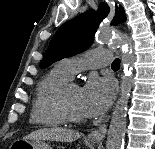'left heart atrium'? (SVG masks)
<instances>
[{
    "mask_svg": "<svg viewBox=\"0 0 155 149\" xmlns=\"http://www.w3.org/2000/svg\"><path fill=\"white\" fill-rule=\"evenodd\" d=\"M115 94V84L110 78L92 77L81 89V108L85 116L103 114L110 107Z\"/></svg>",
    "mask_w": 155,
    "mask_h": 149,
    "instance_id": "39dd6f15",
    "label": "left heart atrium"
}]
</instances>
